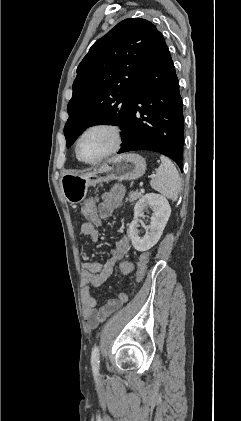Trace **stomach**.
I'll return each instance as SVG.
<instances>
[{
	"label": "stomach",
	"instance_id": "stomach-1",
	"mask_svg": "<svg viewBox=\"0 0 241 421\" xmlns=\"http://www.w3.org/2000/svg\"><path fill=\"white\" fill-rule=\"evenodd\" d=\"M145 170L146 161L142 156L134 153L122 154L84 173H65L60 185L66 201L73 205L84 200L91 185L110 180H135L143 176Z\"/></svg>",
	"mask_w": 241,
	"mask_h": 421
}]
</instances>
